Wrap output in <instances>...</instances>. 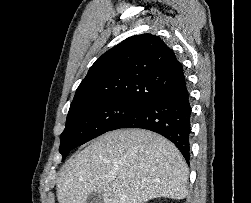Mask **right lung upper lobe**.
Listing matches in <instances>:
<instances>
[{"label":"right lung upper lobe","mask_w":251,"mask_h":203,"mask_svg":"<svg viewBox=\"0 0 251 203\" xmlns=\"http://www.w3.org/2000/svg\"><path fill=\"white\" fill-rule=\"evenodd\" d=\"M185 81L174 52L157 36L125 39L100 56L71 105L96 101L146 104Z\"/></svg>","instance_id":"cb5924a9"}]
</instances>
